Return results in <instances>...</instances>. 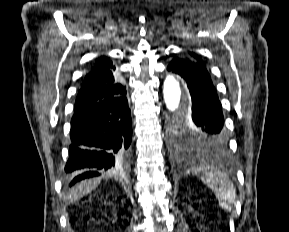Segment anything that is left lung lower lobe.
<instances>
[{
	"label": "left lung lower lobe",
	"instance_id": "0a47b994",
	"mask_svg": "<svg viewBox=\"0 0 289 232\" xmlns=\"http://www.w3.org/2000/svg\"><path fill=\"white\" fill-rule=\"evenodd\" d=\"M167 70L179 75L189 89L192 107L188 120L215 151H225L228 137L216 90L205 66L187 58H173ZM185 117H181V120Z\"/></svg>",
	"mask_w": 289,
	"mask_h": 232
}]
</instances>
